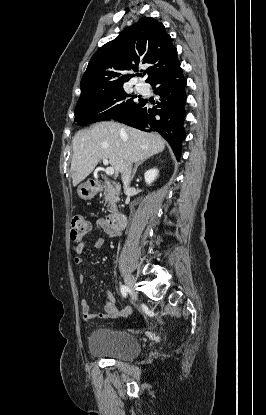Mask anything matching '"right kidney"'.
Masks as SVG:
<instances>
[{
  "label": "right kidney",
  "instance_id": "ca27d5eb",
  "mask_svg": "<svg viewBox=\"0 0 266 415\" xmlns=\"http://www.w3.org/2000/svg\"><path fill=\"white\" fill-rule=\"evenodd\" d=\"M158 176V170L157 169H150L145 172V182L150 185Z\"/></svg>",
  "mask_w": 266,
  "mask_h": 415
}]
</instances>
